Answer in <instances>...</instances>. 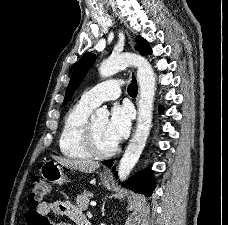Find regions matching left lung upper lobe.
<instances>
[{
  "label": "left lung upper lobe",
  "instance_id": "obj_1",
  "mask_svg": "<svg viewBox=\"0 0 228 225\" xmlns=\"http://www.w3.org/2000/svg\"><path fill=\"white\" fill-rule=\"evenodd\" d=\"M135 49L139 51L142 55H146V52L151 53V49L146 40H144L141 36H137L136 38V46ZM96 60V55L92 52L86 53L81 60L76 64L70 82L67 87L65 99L63 105H65L73 95L74 91L78 88L81 81L85 77L89 68L93 65Z\"/></svg>",
  "mask_w": 228,
  "mask_h": 225
}]
</instances>
